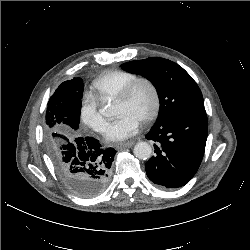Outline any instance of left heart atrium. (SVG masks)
I'll return each instance as SVG.
<instances>
[{
  "instance_id": "obj_1",
  "label": "left heart atrium",
  "mask_w": 250,
  "mask_h": 250,
  "mask_svg": "<svg viewBox=\"0 0 250 250\" xmlns=\"http://www.w3.org/2000/svg\"><path fill=\"white\" fill-rule=\"evenodd\" d=\"M140 121L141 120L132 114H121L108 126L105 138L109 141H119L130 138L137 133Z\"/></svg>"
}]
</instances>
